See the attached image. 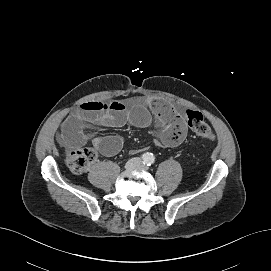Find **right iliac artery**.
I'll return each mask as SVG.
<instances>
[{
  "instance_id": "82829eb1",
  "label": "right iliac artery",
  "mask_w": 271,
  "mask_h": 271,
  "mask_svg": "<svg viewBox=\"0 0 271 271\" xmlns=\"http://www.w3.org/2000/svg\"><path fill=\"white\" fill-rule=\"evenodd\" d=\"M143 162H148V155L144 154L142 155Z\"/></svg>"
}]
</instances>
